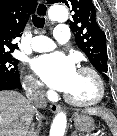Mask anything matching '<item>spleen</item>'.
I'll list each match as a JSON object with an SVG mask.
<instances>
[{
    "mask_svg": "<svg viewBox=\"0 0 117 136\" xmlns=\"http://www.w3.org/2000/svg\"><path fill=\"white\" fill-rule=\"evenodd\" d=\"M86 112L90 115L101 116L109 126L113 136H117V120L113 114L109 113L106 110H100L97 108H88L86 109Z\"/></svg>",
    "mask_w": 117,
    "mask_h": 136,
    "instance_id": "spleen-1",
    "label": "spleen"
}]
</instances>
